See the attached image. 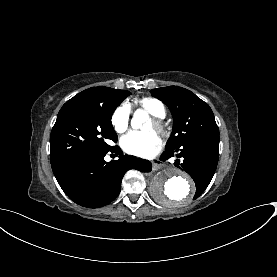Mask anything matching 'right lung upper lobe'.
Segmentation results:
<instances>
[{
  "label": "right lung upper lobe",
  "instance_id": "1",
  "mask_svg": "<svg viewBox=\"0 0 277 277\" xmlns=\"http://www.w3.org/2000/svg\"><path fill=\"white\" fill-rule=\"evenodd\" d=\"M117 91L118 89L99 86L86 89L77 95L91 96L101 100H112L117 95Z\"/></svg>",
  "mask_w": 277,
  "mask_h": 277
}]
</instances>
